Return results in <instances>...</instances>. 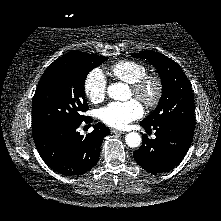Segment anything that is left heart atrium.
<instances>
[{"mask_svg": "<svg viewBox=\"0 0 221 221\" xmlns=\"http://www.w3.org/2000/svg\"><path fill=\"white\" fill-rule=\"evenodd\" d=\"M143 115V107L137 99L111 102L99 111L100 120L114 128H124Z\"/></svg>", "mask_w": 221, "mask_h": 221, "instance_id": "left-heart-atrium-1", "label": "left heart atrium"}]
</instances>
